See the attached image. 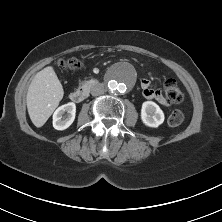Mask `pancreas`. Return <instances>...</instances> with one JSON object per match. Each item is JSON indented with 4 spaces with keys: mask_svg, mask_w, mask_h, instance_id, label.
<instances>
[{
    "mask_svg": "<svg viewBox=\"0 0 222 222\" xmlns=\"http://www.w3.org/2000/svg\"><path fill=\"white\" fill-rule=\"evenodd\" d=\"M86 83H88V81H83V82H80V85H84Z\"/></svg>",
    "mask_w": 222,
    "mask_h": 222,
    "instance_id": "1",
    "label": "pancreas"
}]
</instances>
